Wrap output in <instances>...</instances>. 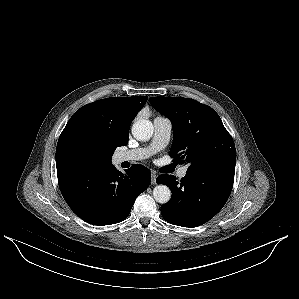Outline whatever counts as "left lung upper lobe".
Here are the masks:
<instances>
[{"label":"left lung upper lobe","mask_w":299,"mask_h":299,"mask_svg":"<svg viewBox=\"0 0 299 299\" xmlns=\"http://www.w3.org/2000/svg\"><path fill=\"white\" fill-rule=\"evenodd\" d=\"M150 103L172 122L174 160L187 163L188 170L205 165L235 167L233 139L211 107L183 97H150Z\"/></svg>","instance_id":"5c2ea615"}]
</instances>
